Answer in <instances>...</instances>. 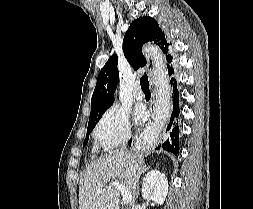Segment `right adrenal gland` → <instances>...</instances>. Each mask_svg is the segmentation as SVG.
I'll return each mask as SVG.
<instances>
[{
    "instance_id": "2a0ac1e0",
    "label": "right adrenal gland",
    "mask_w": 253,
    "mask_h": 209,
    "mask_svg": "<svg viewBox=\"0 0 253 209\" xmlns=\"http://www.w3.org/2000/svg\"><path fill=\"white\" fill-rule=\"evenodd\" d=\"M149 169H150V167H144V168L139 172V174H138V176H137V181H138L137 189H138V191H137L136 196H138V194H139V179H140L141 175L144 174V173H145L147 170H149Z\"/></svg>"
}]
</instances>
